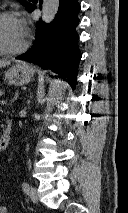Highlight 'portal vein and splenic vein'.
Instances as JSON below:
<instances>
[{
	"instance_id": "portal-vein-and-splenic-vein-1",
	"label": "portal vein and splenic vein",
	"mask_w": 128,
	"mask_h": 213,
	"mask_svg": "<svg viewBox=\"0 0 128 213\" xmlns=\"http://www.w3.org/2000/svg\"><path fill=\"white\" fill-rule=\"evenodd\" d=\"M6 103H7V101H5V100L2 101V104H6Z\"/></svg>"
}]
</instances>
